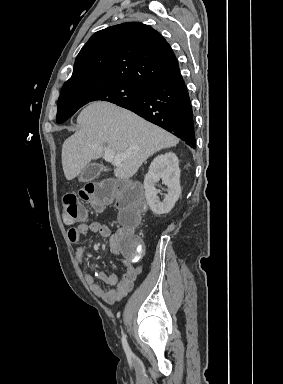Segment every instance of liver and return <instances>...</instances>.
<instances>
[{"instance_id":"liver-1","label":"liver","mask_w":283,"mask_h":384,"mask_svg":"<svg viewBox=\"0 0 283 384\" xmlns=\"http://www.w3.org/2000/svg\"><path fill=\"white\" fill-rule=\"evenodd\" d=\"M77 124L79 132L62 146L66 180L77 178L91 160H98L106 150L127 154L114 174L117 180H128L155 152L173 148L179 142L176 136L110 102H92L80 112Z\"/></svg>"}]
</instances>
